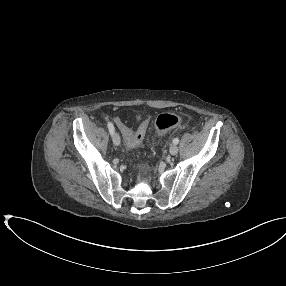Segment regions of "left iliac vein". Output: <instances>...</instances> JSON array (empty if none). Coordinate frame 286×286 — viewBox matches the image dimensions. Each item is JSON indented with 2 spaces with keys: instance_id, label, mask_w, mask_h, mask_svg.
<instances>
[{
  "instance_id": "left-iliac-vein-1",
  "label": "left iliac vein",
  "mask_w": 286,
  "mask_h": 286,
  "mask_svg": "<svg viewBox=\"0 0 286 286\" xmlns=\"http://www.w3.org/2000/svg\"><path fill=\"white\" fill-rule=\"evenodd\" d=\"M178 146L176 145V144H172L171 146H170V149H169V151H170V154L171 155H176L177 153H178Z\"/></svg>"
}]
</instances>
